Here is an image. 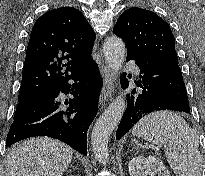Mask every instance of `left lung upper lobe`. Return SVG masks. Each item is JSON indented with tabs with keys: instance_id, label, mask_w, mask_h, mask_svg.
Wrapping results in <instances>:
<instances>
[{
	"instance_id": "left-lung-upper-lobe-1",
	"label": "left lung upper lobe",
	"mask_w": 205,
	"mask_h": 176,
	"mask_svg": "<svg viewBox=\"0 0 205 176\" xmlns=\"http://www.w3.org/2000/svg\"><path fill=\"white\" fill-rule=\"evenodd\" d=\"M113 33L123 39L127 54L155 64H178L170 26L152 11L127 9L119 17Z\"/></svg>"
}]
</instances>
